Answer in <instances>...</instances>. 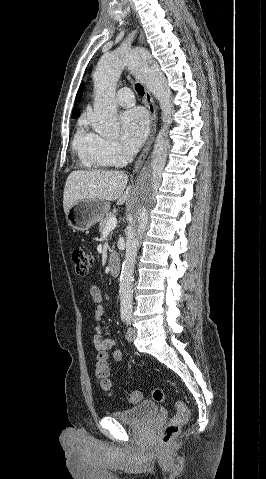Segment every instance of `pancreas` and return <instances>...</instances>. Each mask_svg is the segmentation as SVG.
I'll return each mask as SVG.
<instances>
[{"label":"pancreas","instance_id":"pancreas-1","mask_svg":"<svg viewBox=\"0 0 266 479\" xmlns=\"http://www.w3.org/2000/svg\"><path fill=\"white\" fill-rule=\"evenodd\" d=\"M114 215L112 213H108L106 214V216L100 220V223H99V231L102 232L107 224V221L111 218H113Z\"/></svg>","mask_w":266,"mask_h":479}]
</instances>
